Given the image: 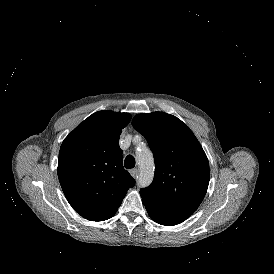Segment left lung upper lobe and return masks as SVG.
<instances>
[{
    "label": "left lung upper lobe",
    "instance_id": "obj_1",
    "mask_svg": "<svg viewBox=\"0 0 274 274\" xmlns=\"http://www.w3.org/2000/svg\"><path fill=\"white\" fill-rule=\"evenodd\" d=\"M132 125L147 139L155 160L154 180L142 190L194 212L207 192L209 164L193 132L164 112L138 114Z\"/></svg>",
    "mask_w": 274,
    "mask_h": 274
}]
</instances>
